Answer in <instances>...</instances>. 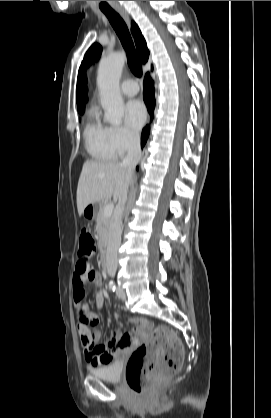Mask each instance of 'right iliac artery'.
I'll return each mask as SVG.
<instances>
[{
  "label": "right iliac artery",
  "mask_w": 271,
  "mask_h": 418,
  "mask_svg": "<svg viewBox=\"0 0 271 418\" xmlns=\"http://www.w3.org/2000/svg\"><path fill=\"white\" fill-rule=\"evenodd\" d=\"M109 289H110V290H112V291H115V289H116V285H115V283H114V282H112V281H111V282L109 283Z\"/></svg>",
  "instance_id": "1"
}]
</instances>
